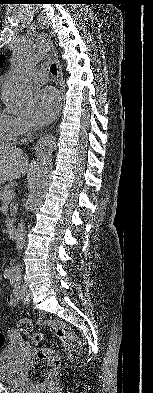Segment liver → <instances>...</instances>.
I'll list each match as a JSON object with an SVG mask.
<instances>
[{"mask_svg": "<svg viewBox=\"0 0 153 393\" xmlns=\"http://www.w3.org/2000/svg\"><path fill=\"white\" fill-rule=\"evenodd\" d=\"M28 171V159L15 145L0 146V186L18 179Z\"/></svg>", "mask_w": 153, "mask_h": 393, "instance_id": "obj_1", "label": "liver"}]
</instances>
